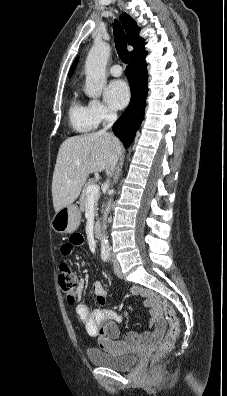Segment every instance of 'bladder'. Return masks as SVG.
<instances>
[{
	"label": "bladder",
	"mask_w": 227,
	"mask_h": 396,
	"mask_svg": "<svg viewBox=\"0 0 227 396\" xmlns=\"http://www.w3.org/2000/svg\"><path fill=\"white\" fill-rule=\"evenodd\" d=\"M87 358L94 366L110 368L117 371L131 369L138 360L136 354H119L99 348H89L87 350Z\"/></svg>",
	"instance_id": "31cf9c89"
}]
</instances>
